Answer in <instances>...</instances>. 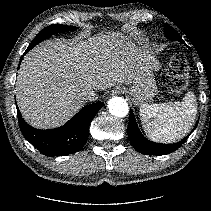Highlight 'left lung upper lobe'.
<instances>
[{
    "label": "left lung upper lobe",
    "instance_id": "left-lung-upper-lobe-1",
    "mask_svg": "<svg viewBox=\"0 0 211 211\" xmlns=\"http://www.w3.org/2000/svg\"><path fill=\"white\" fill-rule=\"evenodd\" d=\"M165 35L170 40L180 41L182 38L178 35V33L168 24L164 25Z\"/></svg>",
    "mask_w": 211,
    "mask_h": 211
}]
</instances>
